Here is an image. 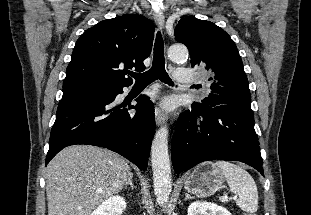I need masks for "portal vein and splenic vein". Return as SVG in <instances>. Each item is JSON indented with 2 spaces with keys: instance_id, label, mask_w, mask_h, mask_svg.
<instances>
[{
  "instance_id": "1",
  "label": "portal vein and splenic vein",
  "mask_w": 311,
  "mask_h": 215,
  "mask_svg": "<svg viewBox=\"0 0 311 215\" xmlns=\"http://www.w3.org/2000/svg\"><path fill=\"white\" fill-rule=\"evenodd\" d=\"M237 197L235 196V197H233V199L235 200ZM228 200V197H227V195H224L223 197H222V201H227Z\"/></svg>"
}]
</instances>
